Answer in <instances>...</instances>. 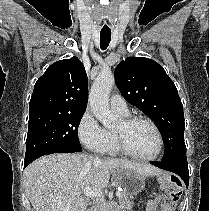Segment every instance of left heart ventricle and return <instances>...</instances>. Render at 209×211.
Listing matches in <instances>:
<instances>
[{"mask_svg": "<svg viewBox=\"0 0 209 211\" xmlns=\"http://www.w3.org/2000/svg\"><path fill=\"white\" fill-rule=\"evenodd\" d=\"M116 131L124 133L128 149L137 156L148 157L157 150V136L153 128L145 122H137L126 128L122 121Z\"/></svg>", "mask_w": 209, "mask_h": 211, "instance_id": "left-heart-ventricle-1", "label": "left heart ventricle"}]
</instances>
